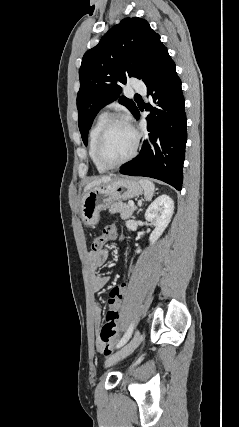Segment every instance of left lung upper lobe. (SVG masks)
Segmentation results:
<instances>
[{"label":"left lung upper lobe","mask_w":239,"mask_h":427,"mask_svg":"<svg viewBox=\"0 0 239 427\" xmlns=\"http://www.w3.org/2000/svg\"><path fill=\"white\" fill-rule=\"evenodd\" d=\"M172 59L149 23L141 18H125L112 27L98 45L85 53L79 70L77 95L79 130L85 145L92 122L99 110L119 97L127 77L148 84ZM119 102L135 116V103L124 96Z\"/></svg>","instance_id":"1"}]
</instances>
